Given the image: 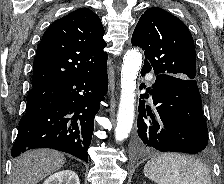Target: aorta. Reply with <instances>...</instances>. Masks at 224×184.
Instances as JSON below:
<instances>
[{"label":"aorta","mask_w":224,"mask_h":184,"mask_svg":"<svg viewBox=\"0 0 224 184\" xmlns=\"http://www.w3.org/2000/svg\"><path fill=\"white\" fill-rule=\"evenodd\" d=\"M142 64V54L137 49H130L124 55L121 69V96L115 129L116 141L128 137L134 120V102L136 79Z\"/></svg>","instance_id":"1"}]
</instances>
